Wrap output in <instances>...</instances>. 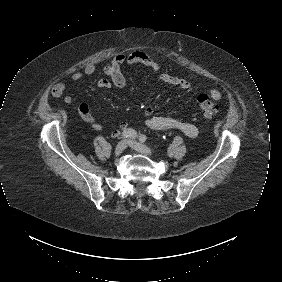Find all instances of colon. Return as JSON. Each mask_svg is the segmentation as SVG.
<instances>
[{"mask_svg":"<svg viewBox=\"0 0 282 282\" xmlns=\"http://www.w3.org/2000/svg\"><path fill=\"white\" fill-rule=\"evenodd\" d=\"M198 102L203 114L206 117L212 118L218 114L219 112L218 105L214 101H212V99L208 95L206 94L199 95Z\"/></svg>","mask_w":282,"mask_h":282,"instance_id":"obj_1","label":"colon"}]
</instances>
